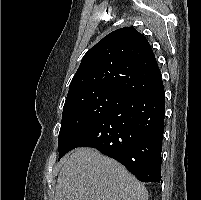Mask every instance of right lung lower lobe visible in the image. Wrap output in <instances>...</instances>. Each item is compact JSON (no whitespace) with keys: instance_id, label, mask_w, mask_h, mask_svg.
Here are the masks:
<instances>
[{"instance_id":"98d812e1","label":"right lung lower lobe","mask_w":201,"mask_h":200,"mask_svg":"<svg viewBox=\"0 0 201 200\" xmlns=\"http://www.w3.org/2000/svg\"><path fill=\"white\" fill-rule=\"evenodd\" d=\"M163 82L130 96L79 132L65 147H93L123 164L142 182L162 183Z\"/></svg>"}]
</instances>
